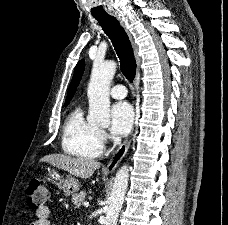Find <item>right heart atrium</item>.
<instances>
[{
  "instance_id": "obj_1",
  "label": "right heart atrium",
  "mask_w": 228,
  "mask_h": 225,
  "mask_svg": "<svg viewBox=\"0 0 228 225\" xmlns=\"http://www.w3.org/2000/svg\"><path fill=\"white\" fill-rule=\"evenodd\" d=\"M98 135L102 143L107 141V134L103 129H98Z\"/></svg>"
}]
</instances>
